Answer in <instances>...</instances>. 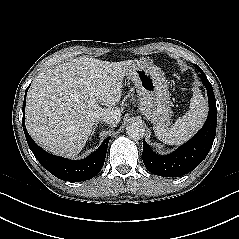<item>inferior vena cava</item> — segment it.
<instances>
[{
	"label": "inferior vena cava",
	"mask_w": 239,
	"mask_h": 239,
	"mask_svg": "<svg viewBox=\"0 0 239 239\" xmlns=\"http://www.w3.org/2000/svg\"><path fill=\"white\" fill-rule=\"evenodd\" d=\"M95 121H97V122L98 121H103L105 123L110 124L112 122V119L109 116H98V117L95 118Z\"/></svg>",
	"instance_id": "obj_1"
}]
</instances>
